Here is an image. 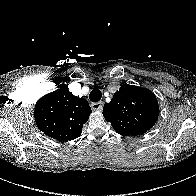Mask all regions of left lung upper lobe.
Returning <instances> with one entry per match:
<instances>
[{"mask_svg":"<svg viewBox=\"0 0 196 196\" xmlns=\"http://www.w3.org/2000/svg\"><path fill=\"white\" fill-rule=\"evenodd\" d=\"M103 114L118 134L137 136L154 126L159 115V105L150 90L124 84L111 102L104 104Z\"/></svg>","mask_w":196,"mask_h":196,"instance_id":"5c2ea615","label":"left lung upper lobe"}]
</instances>
